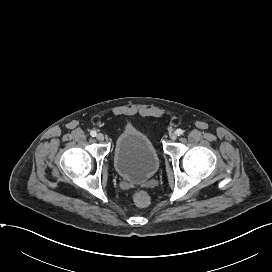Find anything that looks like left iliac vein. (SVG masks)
Here are the masks:
<instances>
[{
	"label": "left iliac vein",
	"instance_id": "left-iliac-vein-1",
	"mask_svg": "<svg viewBox=\"0 0 272 272\" xmlns=\"http://www.w3.org/2000/svg\"><path fill=\"white\" fill-rule=\"evenodd\" d=\"M170 139L171 140H176L177 139V134L176 133H171L170 134Z\"/></svg>",
	"mask_w": 272,
	"mask_h": 272
}]
</instances>
